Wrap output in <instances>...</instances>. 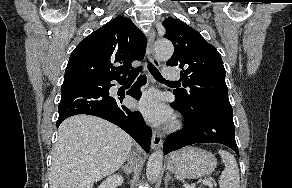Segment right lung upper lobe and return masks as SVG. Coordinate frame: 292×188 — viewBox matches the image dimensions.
Segmentation results:
<instances>
[{"instance_id": "obj_1", "label": "right lung upper lobe", "mask_w": 292, "mask_h": 188, "mask_svg": "<svg viewBox=\"0 0 292 188\" xmlns=\"http://www.w3.org/2000/svg\"><path fill=\"white\" fill-rule=\"evenodd\" d=\"M146 45V37L129 18L117 17L77 45L67 64L64 81L124 79L127 70L132 69L131 63L143 59Z\"/></svg>"}]
</instances>
